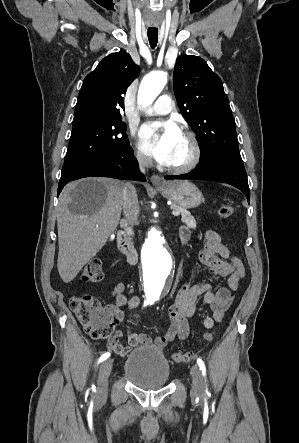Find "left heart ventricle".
Listing matches in <instances>:
<instances>
[{
  "instance_id": "b2bd125f",
  "label": "left heart ventricle",
  "mask_w": 299,
  "mask_h": 443,
  "mask_svg": "<svg viewBox=\"0 0 299 443\" xmlns=\"http://www.w3.org/2000/svg\"><path fill=\"white\" fill-rule=\"evenodd\" d=\"M190 155V146L187 139L182 135L178 143L176 144L170 161L167 164L180 165L187 161Z\"/></svg>"
}]
</instances>
